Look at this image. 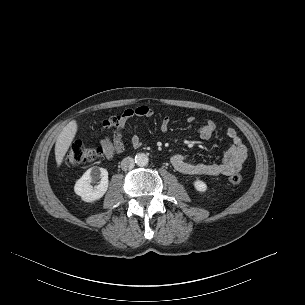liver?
<instances>
[{
	"label": "liver",
	"mask_w": 305,
	"mask_h": 305,
	"mask_svg": "<svg viewBox=\"0 0 305 305\" xmlns=\"http://www.w3.org/2000/svg\"><path fill=\"white\" fill-rule=\"evenodd\" d=\"M78 130V125L75 120L70 121L59 134L55 144V159L57 166L63 162L64 156L67 153L73 139Z\"/></svg>",
	"instance_id": "6515ba94"
}]
</instances>
